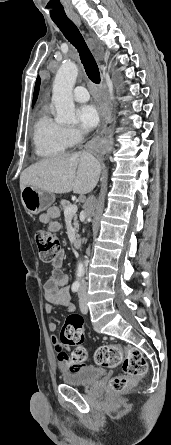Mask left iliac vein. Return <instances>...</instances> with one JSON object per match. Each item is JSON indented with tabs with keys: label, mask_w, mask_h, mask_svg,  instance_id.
Here are the masks:
<instances>
[{
	"label": "left iliac vein",
	"mask_w": 171,
	"mask_h": 445,
	"mask_svg": "<svg viewBox=\"0 0 171 445\" xmlns=\"http://www.w3.org/2000/svg\"><path fill=\"white\" fill-rule=\"evenodd\" d=\"M78 297H79V306H80L81 312L83 314H87L88 306H87V300H86V296H85L84 292L80 291L78 293Z\"/></svg>",
	"instance_id": "4c4485c4"
}]
</instances>
